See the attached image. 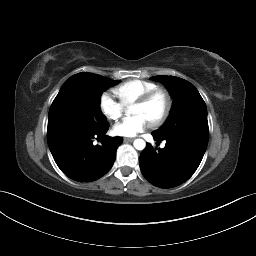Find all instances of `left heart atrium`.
I'll use <instances>...</instances> for the list:
<instances>
[{
  "mask_svg": "<svg viewBox=\"0 0 256 256\" xmlns=\"http://www.w3.org/2000/svg\"><path fill=\"white\" fill-rule=\"evenodd\" d=\"M149 126V120L143 115H136L130 118H125L117 123L113 131L118 136L133 137L144 131Z\"/></svg>",
  "mask_w": 256,
  "mask_h": 256,
  "instance_id": "1",
  "label": "left heart atrium"
}]
</instances>
